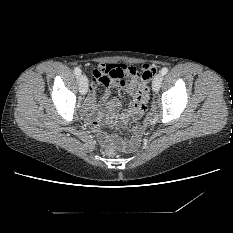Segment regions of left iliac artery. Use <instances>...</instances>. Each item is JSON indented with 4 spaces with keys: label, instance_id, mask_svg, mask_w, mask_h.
<instances>
[{
    "label": "left iliac artery",
    "instance_id": "obj_1",
    "mask_svg": "<svg viewBox=\"0 0 233 233\" xmlns=\"http://www.w3.org/2000/svg\"><path fill=\"white\" fill-rule=\"evenodd\" d=\"M167 72H168V69L166 67L162 68L161 74L165 75L167 74Z\"/></svg>",
    "mask_w": 233,
    "mask_h": 233
}]
</instances>
